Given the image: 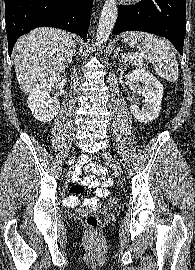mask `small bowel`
<instances>
[{
  "label": "small bowel",
  "mask_w": 195,
  "mask_h": 270,
  "mask_svg": "<svg viewBox=\"0 0 195 270\" xmlns=\"http://www.w3.org/2000/svg\"><path fill=\"white\" fill-rule=\"evenodd\" d=\"M81 170L90 174L78 178V182L71 186L70 195L65 199V204L70 207L80 205L93 208L98 207L100 205V199L106 198L109 195L108 188L112 185L113 181L105 167L88 162L86 157L80 159L76 170L77 174H79ZM85 186L95 189L96 196L82 200L80 195L84 192Z\"/></svg>",
  "instance_id": "small-bowel-1"
}]
</instances>
